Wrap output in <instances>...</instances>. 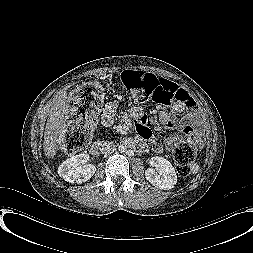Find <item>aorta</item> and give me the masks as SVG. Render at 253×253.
Wrapping results in <instances>:
<instances>
[{"instance_id":"aorta-1","label":"aorta","mask_w":253,"mask_h":253,"mask_svg":"<svg viewBox=\"0 0 253 253\" xmlns=\"http://www.w3.org/2000/svg\"><path fill=\"white\" fill-rule=\"evenodd\" d=\"M127 145L124 142H121L119 145L116 146V151L118 153H125Z\"/></svg>"}]
</instances>
